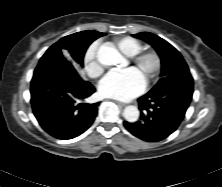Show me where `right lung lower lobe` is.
<instances>
[{
  "instance_id": "obj_1",
  "label": "right lung lower lobe",
  "mask_w": 222,
  "mask_h": 187,
  "mask_svg": "<svg viewBox=\"0 0 222 187\" xmlns=\"http://www.w3.org/2000/svg\"><path fill=\"white\" fill-rule=\"evenodd\" d=\"M30 92L36 119L57 139L79 136L92 125L97 115L99 103L83 102L95 88L83 81L61 55H43L34 71Z\"/></svg>"
}]
</instances>
